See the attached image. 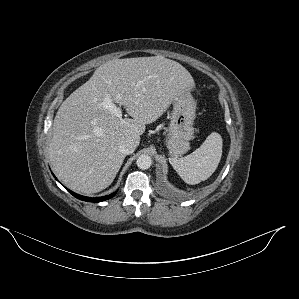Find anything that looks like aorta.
<instances>
[{"instance_id": "762f6f07", "label": "aorta", "mask_w": 299, "mask_h": 299, "mask_svg": "<svg viewBox=\"0 0 299 299\" xmlns=\"http://www.w3.org/2000/svg\"><path fill=\"white\" fill-rule=\"evenodd\" d=\"M136 164L138 168L146 170L152 165V159L149 155L142 154L137 158Z\"/></svg>"}]
</instances>
